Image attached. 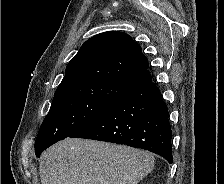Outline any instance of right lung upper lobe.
I'll list each match as a JSON object with an SVG mask.
<instances>
[{
	"mask_svg": "<svg viewBox=\"0 0 224 184\" xmlns=\"http://www.w3.org/2000/svg\"><path fill=\"white\" fill-rule=\"evenodd\" d=\"M148 60L126 33L109 31L88 39L68 63L55 94L88 81H109L130 88L152 81Z\"/></svg>",
	"mask_w": 224,
	"mask_h": 184,
	"instance_id": "right-lung-upper-lobe-1",
	"label": "right lung upper lobe"
}]
</instances>
